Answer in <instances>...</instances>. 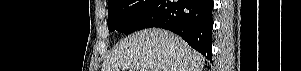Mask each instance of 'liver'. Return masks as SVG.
Returning a JSON list of instances; mask_svg holds the SVG:
<instances>
[{
	"instance_id": "6515ba94",
	"label": "liver",
	"mask_w": 301,
	"mask_h": 71,
	"mask_svg": "<svg viewBox=\"0 0 301 71\" xmlns=\"http://www.w3.org/2000/svg\"><path fill=\"white\" fill-rule=\"evenodd\" d=\"M204 65L205 58L181 37L149 28L121 40L101 71H202Z\"/></svg>"
}]
</instances>
